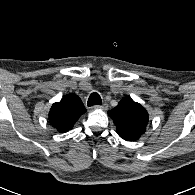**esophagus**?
Masks as SVG:
<instances>
[{
  "mask_svg": "<svg viewBox=\"0 0 195 195\" xmlns=\"http://www.w3.org/2000/svg\"><path fill=\"white\" fill-rule=\"evenodd\" d=\"M95 109H102V110H107L108 109V104L104 103L102 105H95Z\"/></svg>",
  "mask_w": 195,
  "mask_h": 195,
  "instance_id": "34e87169",
  "label": "esophagus"
}]
</instances>
